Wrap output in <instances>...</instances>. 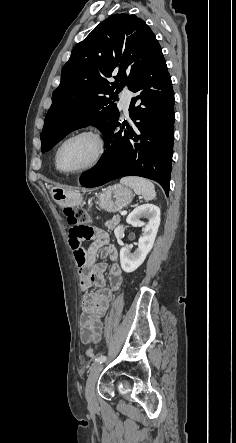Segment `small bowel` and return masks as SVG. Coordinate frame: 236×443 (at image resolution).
<instances>
[{
  "label": "small bowel",
  "mask_w": 236,
  "mask_h": 443,
  "mask_svg": "<svg viewBox=\"0 0 236 443\" xmlns=\"http://www.w3.org/2000/svg\"><path fill=\"white\" fill-rule=\"evenodd\" d=\"M91 246L84 250L81 243L84 241L80 237L69 236V243L74 251L75 262L79 272L80 286L87 290L91 285H96V292H86L82 300V311L80 321V337L83 343L96 342L101 334L103 324L102 319L109 308L114 291L120 289L123 283L122 269L117 263L118 250L114 245L109 244V237L101 229L93 228ZM101 258H108L112 264L109 266L107 282L103 273L106 269L104 263H96L97 255Z\"/></svg>",
  "instance_id": "c3829d8e"
}]
</instances>
